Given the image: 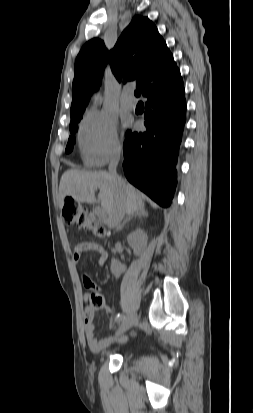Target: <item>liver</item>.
<instances>
[{"label":"liver","mask_w":253,"mask_h":413,"mask_svg":"<svg viewBox=\"0 0 253 413\" xmlns=\"http://www.w3.org/2000/svg\"><path fill=\"white\" fill-rule=\"evenodd\" d=\"M121 183L125 194V213L130 215L144 210L143 197L138 190L124 179H121ZM97 188L100 190L98 199L102 209L109 215L115 207L116 190L109 173L103 171L68 170L64 172L59 185V205L63 206L67 196L79 203H93L95 201L94 191Z\"/></svg>","instance_id":"1"}]
</instances>
